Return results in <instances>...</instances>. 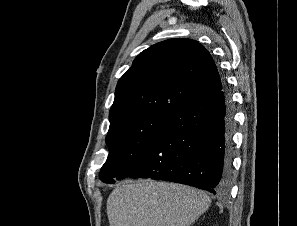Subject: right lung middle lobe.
I'll return each instance as SVG.
<instances>
[{
  "mask_svg": "<svg viewBox=\"0 0 297 226\" xmlns=\"http://www.w3.org/2000/svg\"><path fill=\"white\" fill-rule=\"evenodd\" d=\"M172 113H145L124 118L110 125L106 136L109 155L99 178L114 183L148 147L158 132L168 123Z\"/></svg>",
  "mask_w": 297,
  "mask_h": 226,
  "instance_id": "right-lung-middle-lobe-1",
  "label": "right lung middle lobe"
}]
</instances>
